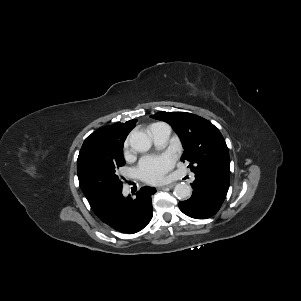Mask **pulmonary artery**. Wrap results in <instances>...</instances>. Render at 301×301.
I'll return each instance as SVG.
<instances>
[{
  "label": "pulmonary artery",
  "instance_id": "pulmonary-artery-1",
  "mask_svg": "<svg viewBox=\"0 0 301 301\" xmlns=\"http://www.w3.org/2000/svg\"><path fill=\"white\" fill-rule=\"evenodd\" d=\"M148 132L154 144L158 147H162L167 143L170 137L171 128L165 123H154L149 127Z\"/></svg>",
  "mask_w": 301,
  "mask_h": 301
}]
</instances>
